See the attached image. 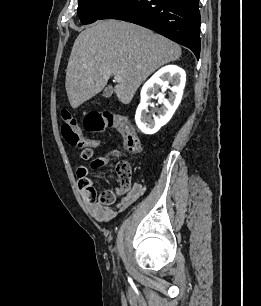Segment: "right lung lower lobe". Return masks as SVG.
Masks as SVG:
<instances>
[{
	"label": "right lung lower lobe",
	"mask_w": 261,
	"mask_h": 306,
	"mask_svg": "<svg viewBox=\"0 0 261 306\" xmlns=\"http://www.w3.org/2000/svg\"><path fill=\"white\" fill-rule=\"evenodd\" d=\"M132 22L200 54L199 0H118L100 17Z\"/></svg>",
	"instance_id": "obj_1"
}]
</instances>
